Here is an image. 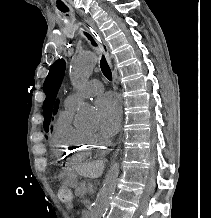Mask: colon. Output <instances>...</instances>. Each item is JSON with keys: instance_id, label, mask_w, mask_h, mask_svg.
I'll return each instance as SVG.
<instances>
[{"instance_id": "colon-1", "label": "colon", "mask_w": 211, "mask_h": 218, "mask_svg": "<svg viewBox=\"0 0 211 218\" xmlns=\"http://www.w3.org/2000/svg\"><path fill=\"white\" fill-rule=\"evenodd\" d=\"M57 196L59 200L65 204L71 202L73 198L71 189L66 185L59 186Z\"/></svg>"}]
</instances>
